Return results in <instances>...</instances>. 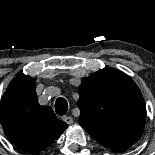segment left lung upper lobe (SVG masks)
I'll use <instances>...</instances> for the list:
<instances>
[{
  "instance_id": "left-lung-upper-lobe-1",
  "label": "left lung upper lobe",
  "mask_w": 155,
  "mask_h": 155,
  "mask_svg": "<svg viewBox=\"0 0 155 155\" xmlns=\"http://www.w3.org/2000/svg\"><path fill=\"white\" fill-rule=\"evenodd\" d=\"M79 124L100 144L124 151L139 138L146 106L135 82L125 73L104 68L79 87Z\"/></svg>"
}]
</instances>
